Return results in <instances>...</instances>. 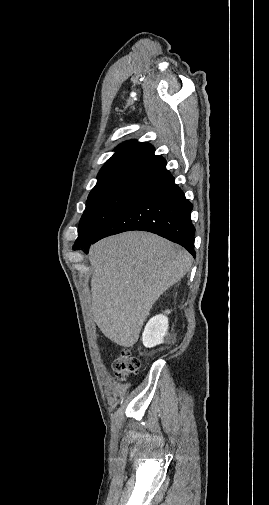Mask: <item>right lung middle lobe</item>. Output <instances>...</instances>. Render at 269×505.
<instances>
[{
	"mask_svg": "<svg viewBox=\"0 0 269 505\" xmlns=\"http://www.w3.org/2000/svg\"><path fill=\"white\" fill-rule=\"evenodd\" d=\"M138 189L123 186L93 188L78 227V238L73 250L92 243L116 212Z\"/></svg>",
	"mask_w": 269,
	"mask_h": 505,
	"instance_id": "1",
	"label": "right lung middle lobe"
}]
</instances>
